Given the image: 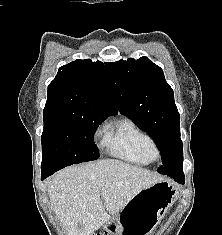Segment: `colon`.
Returning <instances> with one entry per match:
<instances>
[{"instance_id":"obj_1","label":"colon","mask_w":222,"mask_h":235,"mask_svg":"<svg viewBox=\"0 0 222 235\" xmlns=\"http://www.w3.org/2000/svg\"><path fill=\"white\" fill-rule=\"evenodd\" d=\"M94 235H107V233H96Z\"/></svg>"}]
</instances>
